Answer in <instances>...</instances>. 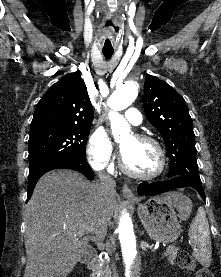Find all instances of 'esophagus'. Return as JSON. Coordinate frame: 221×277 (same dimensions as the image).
<instances>
[{
	"label": "esophagus",
	"instance_id": "1",
	"mask_svg": "<svg viewBox=\"0 0 221 277\" xmlns=\"http://www.w3.org/2000/svg\"><path fill=\"white\" fill-rule=\"evenodd\" d=\"M122 192L123 194L130 199H135V196L132 192V190L129 188V186L127 184H125L122 188Z\"/></svg>",
	"mask_w": 221,
	"mask_h": 277
}]
</instances>
